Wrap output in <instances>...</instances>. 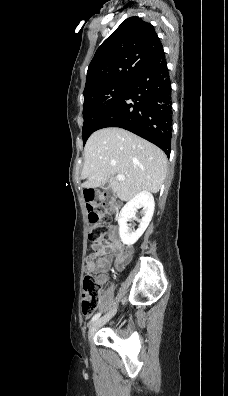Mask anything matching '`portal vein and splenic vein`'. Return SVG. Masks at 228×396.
Listing matches in <instances>:
<instances>
[{
  "label": "portal vein and splenic vein",
  "instance_id": "18ae733b",
  "mask_svg": "<svg viewBox=\"0 0 228 396\" xmlns=\"http://www.w3.org/2000/svg\"><path fill=\"white\" fill-rule=\"evenodd\" d=\"M116 179L119 180V181H123V180H125V176H124V175H121V174H118V175L116 176Z\"/></svg>",
  "mask_w": 228,
  "mask_h": 396
}]
</instances>
